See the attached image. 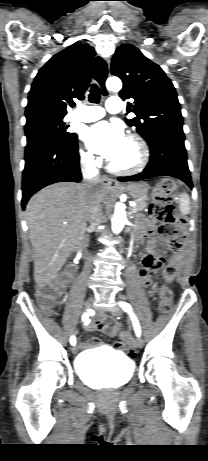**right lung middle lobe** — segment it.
Returning a JSON list of instances; mask_svg holds the SVG:
<instances>
[{"label":"right lung middle lobe","mask_w":208,"mask_h":461,"mask_svg":"<svg viewBox=\"0 0 208 461\" xmlns=\"http://www.w3.org/2000/svg\"><path fill=\"white\" fill-rule=\"evenodd\" d=\"M63 118L64 116L53 115L26 116V147L44 138H55L63 142L77 140V134L67 131L69 126L63 122Z\"/></svg>","instance_id":"1"}]
</instances>
